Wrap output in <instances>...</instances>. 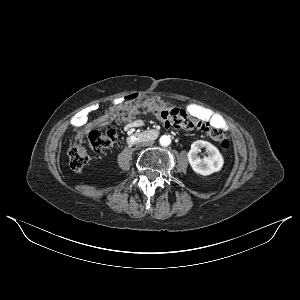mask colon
<instances>
[{
  "mask_svg": "<svg viewBox=\"0 0 300 300\" xmlns=\"http://www.w3.org/2000/svg\"><path fill=\"white\" fill-rule=\"evenodd\" d=\"M131 108L141 112H151L166 127L180 129H197L206 133L211 139L217 141L223 151H228L230 143L222 128L206 121L203 118L189 114L183 109L168 108L154 102L144 100L140 94H131L125 98ZM117 138L112 128L93 129L87 133L90 146L95 151L111 148ZM69 165L73 171L82 170L89 161V153L80 144H73L68 151Z\"/></svg>",
  "mask_w": 300,
  "mask_h": 300,
  "instance_id": "1",
  "label": "colon"
}]
</instances>
